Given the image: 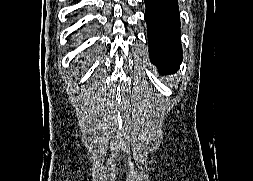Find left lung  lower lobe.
I'll list each match as a JSON object with an SVG mask.
<instances>
[{
  "label": "left lung lower lobe",
  "instance_id": "1",
  "mask_svg": "<svg viewBox=\"0 0 253 181\" xmlns=\"http://www.w3.org/2000/svg\"><path fill=\"white\" fill-rule=\"evenodd\" d=\"M144 2L151 62L162 73H175L182 62L178 1Z\"/></svg>",
  "mask_w": 253,
  "mask_h": 181
}]
</instances>
